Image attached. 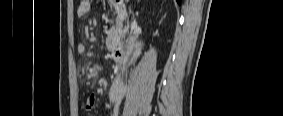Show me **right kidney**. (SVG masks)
Returning <instances> with one entry per match:
<instances>
[{
  "instance_id": "1",
  "label": "right kidney",
  "mask_w": 283,
  "mask_h": 116,
  "mask_svg": "<svg viewBox=\"0 0 283 116\" xmlns=\"http://www.w3.org/2000/svg\"><path fill=\"white\" fill-rule=\"evenodd\" d=\"M132 47L135 51V54L138 56L141 54V49H142V43L141 42H138L136 40H133L132 41Z\"/></svg>"
}]
</instances>
